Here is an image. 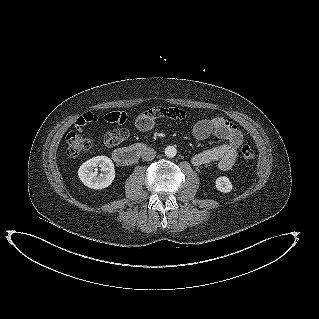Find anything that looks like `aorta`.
Here are the masks:
<instances>
[{
    "label": "aorta",
    "instance_id": "762f6f07",
    "mask_svg": "<svg viewBox=\"0 0 319 319\" xmlns=\"http://www.w3.org/2000/svg\"><path fill=\"white\" fill-rule=\"evenodd\" d=\"M177 153V150L174 146H167L165 148V155L168 157V158H172L176 155Z\"/></svg>",
    "mask_w": 319,
    "mask_h": 319
}]
</instances>
